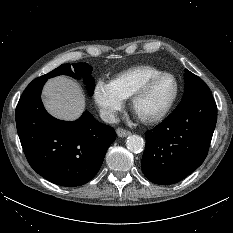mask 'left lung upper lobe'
<instances>
[{
  "instance_id": "left-lung-upper-lobe-1",
  "label": "left lung upper lobe",
  "mask_w": 233,
  "mask_h": 233,
  "mask_svg": "<svg viewBox=\"0 0 233 233\" xmlns=\"http://www.w3.org/2000/svg\"><path fill=\"white\" fill-rule=\"evenodd\" d=\"M185 90L181 102L178 106L194 99L212 95L207 84L195 74L185 69ZM177 106V107H178Z\"/></svg>"
}]
</instances>
